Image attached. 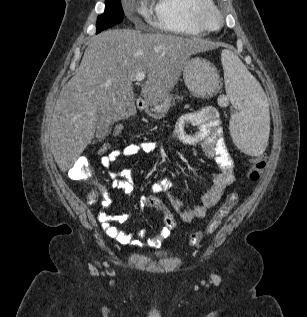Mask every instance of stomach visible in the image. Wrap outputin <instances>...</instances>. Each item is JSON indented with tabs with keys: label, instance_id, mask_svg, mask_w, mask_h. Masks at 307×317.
<instances>
[{
	"label": "stomach",
	"instance_id": "obj_1",
	"mask_svg": "<svg viewBox=\"0 0 307 317\" xmlns=\"http://www.w3.org/2000/svg\"><path fill=\"white\" fill-rule=\"evenodd\" d=\"M183 79L188 90L196 97H210L220 89V79L213 64L199 56L188 58L183 67ZM170 97L145 102V111L155 119L167 115Z\"/></svg>",
	"mask_w": 307,
	"mask_h": 317
}]
</instances>
